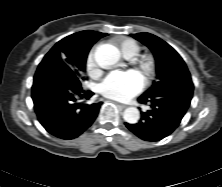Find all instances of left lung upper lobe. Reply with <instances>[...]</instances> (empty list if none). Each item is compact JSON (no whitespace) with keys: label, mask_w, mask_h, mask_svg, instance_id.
I'll return each instance as SVG.
<instances>
[{"label":"left lung upper lobe","mask_w":222,"mask_h":187,"mask_svg":"<svg viewBox=\"0 0 222 187\" xmlns=\"http://www.w3.org/2000/svg\"><path fill=\"white\" fill-rule=\"evenodd\" d=\"M132 37L146 45L152 51L156 61L157 80L143 95L154 96L167 91L170 95L168 98L179 97L182 84L192 82L181 56L165 41L150 33L132 34Z\"/></svg>","instance_id":"1"}]
</instances>
